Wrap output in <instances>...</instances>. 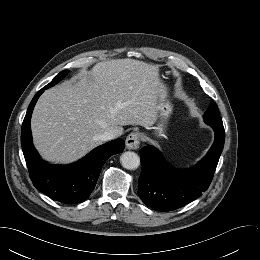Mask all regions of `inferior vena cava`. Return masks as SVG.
<instances>
[{"mask_svg":"<svg viewBox=\"0 0 260 260\" xmlns=\"http://www.w3.org/2000/svg\"><path fill=\"white\" fill-rule=\"evenodd\" d=\"M117 135L115 132L113 131H105L104 133H102L100 136H99V139L103 142H106V141H109V140H112L114 138H116Z\"/></svg>","mask_w":260,"mask_h":260,"instance_id":"602c4592","label":"inferior vena cava"}]
</instances>
